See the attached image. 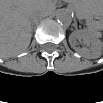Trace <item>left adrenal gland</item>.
<instances>
[{
    "mask_svg": "<svg viewBox=\"0 0 103 103\" xmlns=\"http://www.w3.org/2000/svg\"><path fill=\"white\" fill-rule=\"evenodd\" d=\"M75 28H76V30H77V25H76V23L73 25Z\"/></svg>",
    "mask_w": 103,
    "mask_h": 103,
    "instance_id": "left-adrenal-gland-1",
    "label": "left adrenal gland"
}]
</instances>
